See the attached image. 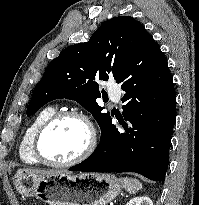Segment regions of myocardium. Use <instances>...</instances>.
Here are the masks:
<instances>
[{"instance_id":"1","label":"myocardium","mask_w":199,"mask_h":205,"mask_svg":"<svg viewBox=\"0 0 199 205\" xmlns=\"http://www.w3.org/2000/svg\"><path fill=\"white\" fill-rule=\"evenodd\" d=\"M64 118H77L81 120L88 132L87 142L84 147V149L74 158L63 161V162H57L48 160L41 151V139L45 132L56 122H58L61 119ZM96 146V130L95 127L90 120V118L83 112L77 111V110H63L58 111L54 113L48 120H46L36 131L34 138H33V144H32V151L35 158L42 164L52 166V167H68L75 165L83 160H85L87 157H89L92 152L94 151Z\"/></svg>"}]
</instances>
